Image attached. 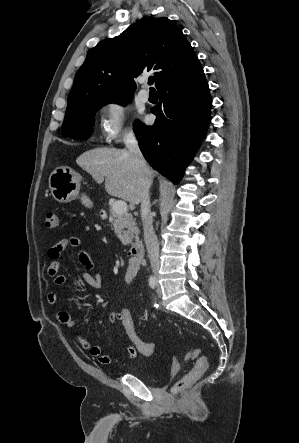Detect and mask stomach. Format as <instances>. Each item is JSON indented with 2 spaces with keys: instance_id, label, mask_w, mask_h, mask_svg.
Listing matches in <instances>:
<instances>
[{
  "instance_id": "obj_1",
  "label": "stomach",
  "mask_w": 299,
  "mask_h": 443,
  "mask_svg": "<svg viewBox=\"0 0 299 443\" xmlns=\"http://www.w3.org/2000/svg\"><path fill=\"white\" fill-rule=\"evenodd\" d=\"M81 176L73 169L61 166L57 167L49 177V188L53 198L59 203H68L79 198ZM86 206L91 205V201L86 196L80 197Z\"/></svg>"
}]
</instances>
